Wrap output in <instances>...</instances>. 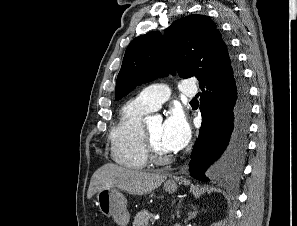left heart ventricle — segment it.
Segmentation results:
<instances>
[{"label":"left heart ventricle","instance_id":"b2bd125f","mask_svg":"<svg viewBox=\"0 0 297 226\" xmlns=\"http://www.w3.org/2000/svg\"><path fill=\"white\" fill-rule=\"evenodd\" d=\"M162 127L163 124L161 122H154L147 125V129L149 131L150 137L156 146V148L163 154L168 155L169 152L164 149L161 144V136H162Z\"/></svg>","mask_w":297,"mask_h":226}]
</instances>
